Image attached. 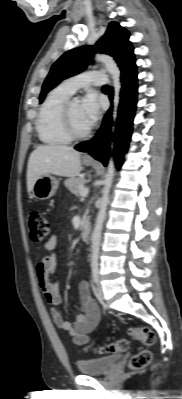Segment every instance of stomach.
Returning a JSON list of instances; mask_svg holds the SVG:
<instances>
[{
	"mask_svg": "<svg viewBox=\"0 0 182 399\" xmlns=\"http://www.w3.org/2000/svg\"><path fill=\"white\" fill-rule=\"evenodd\" d=\"M85 163L87 165L91 164L89 161ZM58 186L59 181L55 177L51 175L41 176L34 183L31 196L39 200L49 199L56 193Z\"/></svg>",
	"mask_w": 182,
	"mask_h": 399,
	"instance_id": "obj_1",
	"label": "stomach"
}]
</instances>
